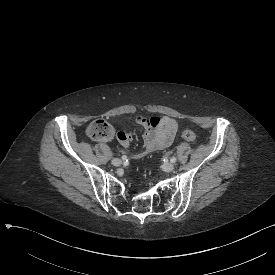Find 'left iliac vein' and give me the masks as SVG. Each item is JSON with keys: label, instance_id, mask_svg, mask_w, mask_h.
<instances>
[{"label": "left iliac vein", "instance_id": "4c4485c4", "mask_svg": "<svg viewBox=\"0 0 275 275\" xmlns=\"http://www.w3.org/2000/svg\"><path fill=\"white\" fill-rule=\"evenodd\" d=\"M163 170L165 172H171L174 170V164L173 163H166L163 165Z\"/></svg>", "mask_w": 275, "mask_h": 275}]
</instances>
